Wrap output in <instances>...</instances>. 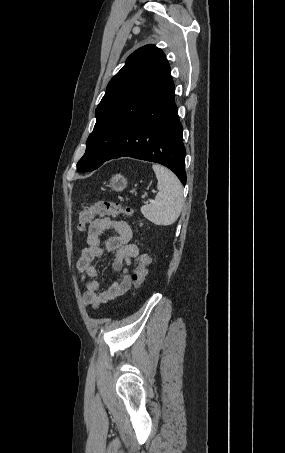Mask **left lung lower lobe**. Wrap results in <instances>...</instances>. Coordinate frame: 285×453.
Masks as SVG:
<instances>
[{
    "label": "left lung lower lobe",
    "instance_id": "left-lung-lower-lobe-1",
    "mask_svg": "<svg viewBox=\"0 0 285 453\" xmlns=\"http://www.w3.org/2000/svg\"><path fill=\"white\" fill-rule=\"evenodd\" d=\"M185 155L175 86L169 73L155 97L130 124L105 161L129 156L160 163L185 185Z\"/></svg>",
    "mask_w": 285,
    "mask_h": 453
}]
</instances>
